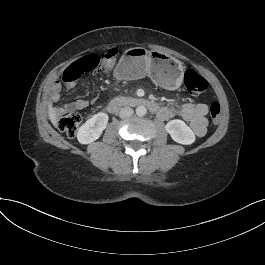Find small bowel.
I'll list each match as a JSON object with an SVG mask.
<instances>
[{"mask_svg":"<svg viewBox=\"0 0 265 265\" xmlns=\"http://www.w3.org/2000/svg\"><path fill=\"white\" fill-rule=\"evenodd\" d=\"M60 98V86L54 84L50 89V99L52 102H57ZM89 105L85 99H77L65 105L56 106L52 109V114L55 117L65 113L84 109ZM164 115L160 117L162 120H167L174 117H179L190 123L191 129L197 137H202L206 134L208 106L204 103H184L177 109L163 107Z\"/></svg>","mask_w":265,"mask_h":265,"instance_id":"1","label":"small bowel"}]
</instances>
